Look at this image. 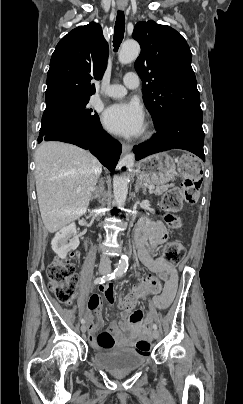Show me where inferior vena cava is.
I'll list each match as a JSON object with an SVG mask.
<instances>
[{
  "label": "inferior vena cava",
  "mask_w": 243,
  "mask_h": 404,
  "mask_svg": "<svg viewBox=\"0 0 243 404\" xmlns=\"http://www.w3.org/2000/svg\"><path fill=\"white\" fill-rule=\"evenodd\" d=\"M99 269H98V272L100 273V274H103V273H105V274H110L111 273V266H110V260H109V258H108V256H107V254H102V256H101V263L99 264Z\"/></svg>",
  "instance_id": "inferior-vena-cava-1"
}]
</instances>
